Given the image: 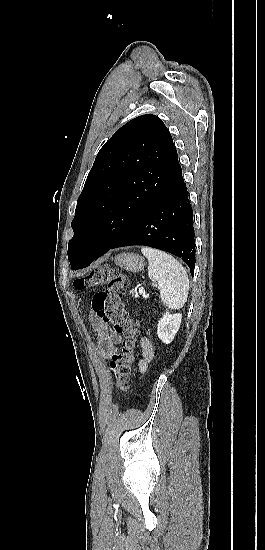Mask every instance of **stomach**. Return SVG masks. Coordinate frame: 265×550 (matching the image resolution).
<instances>
[{
	"mask_svg": "<svg viewBox=\"0 0 265 550\" xmlns=\"http://www.w3.org/2000/svg\"><path fill=\"white\" fill-rule=\"evenodd\" d=\"M115 263L121 268L138 273L144 268V260L134 253H121L115 258Z\"/></svg>",
	"mask_w": 265,
	"mask_h": 550,
	"instance_id": "obj_1",
	"label": "stomach"
}]
</instances>
